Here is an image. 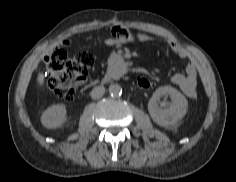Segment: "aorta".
Masks as SVG:
<instances>
[{
	"instance_id": "aorta-1",
	"label": "aorta",
	"mask_w": 236,
	"mask_h": 182,
	"mask_svg": "<svg viewBox=\"0 0 236 182\" xmlns=\"http://www.w3.org/2000/svg\"><path fill=\"white\" fill-rule=\"evenodd\" d=\"M109 93L112 96H119L122 94V87L119 84H111L109 86Z\"/></svg>"
}]
</instances>
